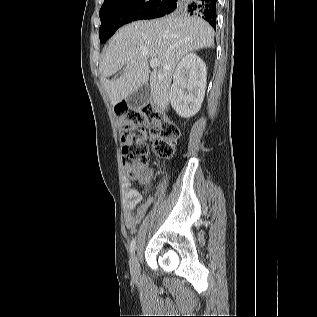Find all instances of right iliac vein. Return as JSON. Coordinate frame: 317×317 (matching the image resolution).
Returning <instances> with one entry per match:
<instances>
[{"instance_id": "obj_1", "label": "right iliac vein", "mask_w": 317, "mask_h": 317, "mask_svg": "<svg viewBox=\"0 0 317 317\" xmlns=\"http://www.w3.org/2000/svg\"><path fill=\"white\" fill-rule=\"evenodd\" d=\"M129 266H130L131 275L134 278H138L140 274V269H139L138 257L136 254H133L131 256Z\"/></svg>"}]
</instances>
